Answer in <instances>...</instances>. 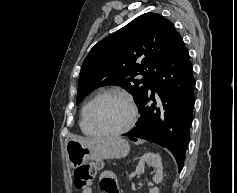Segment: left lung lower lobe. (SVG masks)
<instances>
[{"instance_id":"0a47b994","label":"left lung lower lobe","mask_w":237,"mask_h":193,"mask_svg":"<svg viewBox=\"0 0 237 193\" xmlns=\"http://www.w3.org/2000/svg\"><path fill=\"white\" fill-rule=\"evenodd\" d=\"M194 88L192 64L181 40L155 74L138 105L141 115L137 127L124 136L133 141L145 139L169 149L181 171L193 116ZM154 92L159 97L157 101ZM150 100L152 104H148Z\"/></svg>"}]
</instances>
